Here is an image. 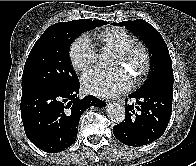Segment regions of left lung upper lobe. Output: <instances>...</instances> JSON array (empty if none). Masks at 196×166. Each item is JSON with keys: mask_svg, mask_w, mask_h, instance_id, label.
Returning a JSON list of instances; mask_svg holds the SVG:
<instances>
[{"mask_svg": "<svg viewBox=\"0 0 196 166\" xmlns=\"http://www.w3.org/2000/svg\"><path fill=\"white\" fill-rule=\"evenodd\" d=\"M125 26L145 43L150 52V75L143 86L137 90H145L153 86L164 85L173 87L172 60L167 45L160 33L142 19L112 23Z\"/></svg>", "mask_w": 196, "mask_h": 166, "instance_id": "left-lung-upper-lobe-1", "label": "left lung upper lobe"}]
</instances>
